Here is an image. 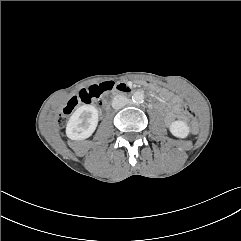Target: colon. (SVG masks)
Listing matches in <instances>:
<instances>
[{
    "mask_svg": "<svg viewBox=\"0 0 241 241\" xmlns=\"http://www.w3.org/2000/svg\"><path fill=\"white\" fill-rule=\"evenodd\" d=\"M112 82H104L101 84H94L83 89L77 97L70 99L60 112V122L63 123L65 119L71 115L79 105L90 104L92 102H99L100 97L111 90ZM183 115L189 118V131L196 133L198 131V118L195 116L194 110L190 105L183 107Z\"/></svg>",
    "mask_w": 241,
    "mask_h": 241,
    "instance_id": "colon-1",
    "label": "colon"
}]
</instances>
